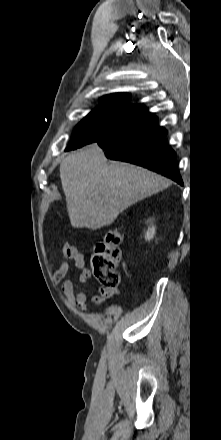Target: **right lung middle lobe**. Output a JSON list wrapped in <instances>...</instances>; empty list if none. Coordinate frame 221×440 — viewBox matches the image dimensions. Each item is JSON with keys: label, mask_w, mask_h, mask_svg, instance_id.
Returning a JSON list of instances; mask_svg holds the SVG:
<instances>
[{"label": "right lung middle lobe", "mask_w": 221, "mask_h": 440, "mask_svg": "<svg viewBox=\"0 0 221 440\" xmlns=\"http://www.w3.org/2000/svg\"><path fill=\"white\" fill-rule=\"evenodd\" d=\"M135 113L119 110L112 104L102 103L92 110L77 126L65 151L75 150L105 137Z\"/></svg>", "instance_id": "obj_1"}]
</instances>
